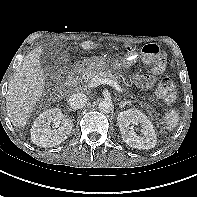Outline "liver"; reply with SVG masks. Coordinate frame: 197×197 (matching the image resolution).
Segmentation results:
<instances>
[{"label": "liver", "instance_id": "liver-1", "mask_svg": "<svg viewBox=\"0 0 197 197\" xmlns=\"http://www.w3.org/2000/svg\"><path fill=\"white\" fill-rule=\"evenodd\" d=\"M80 46L85 50L95 47L93 41H84ZM40 47L33 49L17 68L10 80L6 95V109L14 127L27 123L36 103L44 92V71L41 68Z\"/></svg>", "mask_w": 197, "mask_h": 197}]
</instances>
